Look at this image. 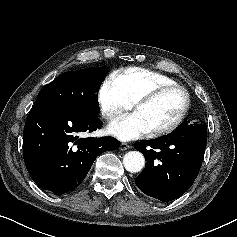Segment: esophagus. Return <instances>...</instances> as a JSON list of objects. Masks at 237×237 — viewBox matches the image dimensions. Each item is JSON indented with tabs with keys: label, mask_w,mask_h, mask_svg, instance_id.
Here are the masks:
<instances>
[{
	"label": "esophagus",
	"mask_w": 237,
	"mask_h": 237,
	"mask_svg": "<svg viewBox=\"0 0 237 237\" xmlns=\"http://www.w3.org/2000/svg\"><path fill=\"white\" fill-rule=\"evenodd\" d=\"M130 148V145L128 143H121L119 146V149L124 151V150H128Z\"/></svg>",
	"instance_id": "34e87169"
}]
</instances>
